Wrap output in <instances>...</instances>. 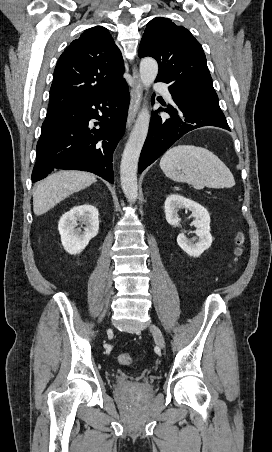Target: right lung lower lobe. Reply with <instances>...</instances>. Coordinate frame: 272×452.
<instances>
[{
    "instance_id": "98d812e1",
    "label": "right lung lower lobe",
    "mask_w": 272,
    "mask_h": 452,
    "mask_svg": "<svg viewBox=\"0 0 272 452\" xmlns=\"http://www.w3.org/2000/svg\"><path fill=\"white\" fill-rule=\"evenodd\" d=\"M129 100L124 80L70 110L47 113L37 143L32 182L57 169H74L93 172L113 184L112 154L125 131ZM91 119L100 121L95 123L99 129L92 128Z\"/></svg>"
}]
</instances>
